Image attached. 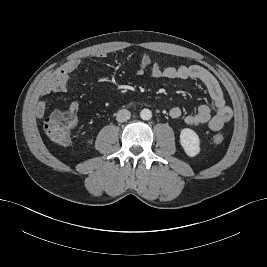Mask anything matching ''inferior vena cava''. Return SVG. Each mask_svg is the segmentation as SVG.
I'll return each mask as SVG.
<instances>
[{"instance_id":"obj_1","label":"inferior vena cava","mask_w":267,"mask_h":267,"mask_svg":"<svg viewBox=\"0 0 267 267\" xmlns=\"http://www.w3.org/2000/svg\"><path fill=\"white\" fill-rule=\"evenodd\" d=\"M131 113L126 109H121L117 112L116 120L118 122H125L130 119Z\"/></svg>"}]
</instances>
